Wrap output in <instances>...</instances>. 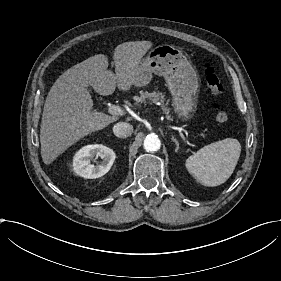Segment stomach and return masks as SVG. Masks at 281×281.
Returning <instances> with one entry per match:
<instances>
[{
    "label": "stomach",
    "instance_id": "stomach-1",
    "mask_svg": "<svg viewBox=\"0 0 281 281\" xmlns=\"http://www.w3.org/2000/svg\"><path fill=\"white\" fill-rule=\"evenodd\" d=\"M153 73L164 77L178 116L183 120L190 119L191 113L196 111L199 76L183 51L168 44L150 50L136 66L134 85L146 86Z\"/></svg>",
    "mask_w": 281,
    "mask_h": 281
}]
</instances>
